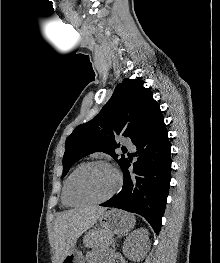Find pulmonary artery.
<instances>
[{
	"label": "pulmonary artery",
	"instance_id": "pulmonary-artery-1",
	"mask_svg": "<svg viewBox=\"0 0 220 263\" xmlns=\"http://www.w3.org/2000/svg\"><path fill=\"white\" fill-rule=\"evenodd\" d=\"M123 144L128 146L129 148H132V142L129 139H123Z\"/></svg>",
	"mask_w": 220,
	"mask_h": 263
}]
</instances>
